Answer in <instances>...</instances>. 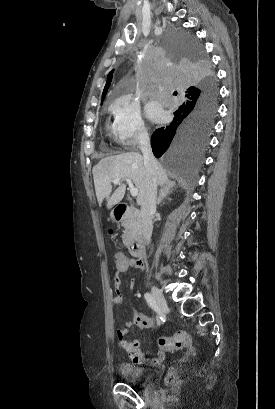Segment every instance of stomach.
Wrapping results in <instances>:
<instances>
[{"label": "stomach", "instance_id": "obj_1", "mask_svg": "<svg viewBox=\"0 0 275 409\" xmlns=\"http://www.w3.org/2000/svg\"><path fill=\"white\" fill-rule=\"evenodd\" d=\"M110 219H112V221H115L113 213H111Z\"/></svg>", "mask_w": 275, "mask_h": 409}]
</instances>
